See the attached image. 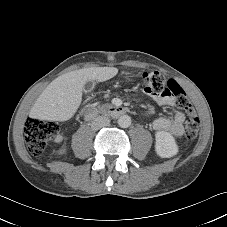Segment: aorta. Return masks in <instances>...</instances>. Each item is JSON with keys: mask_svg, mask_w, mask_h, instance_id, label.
<instances>
[{"mask_svg": "<svg viewBox=\"0 0 227 227\" xmlns=\"http://www.w3.org/2000/svg\"><path fill=\"white\" fill-rule=\"evenodd\" d=\"M118 125L121 128H127L131 125V117L128 115H122L118 119Z\"/></svg>", "mask_w": 227, "mask_h": 227, "instance_id": "1", "label": "aorta"}]
</instances>
